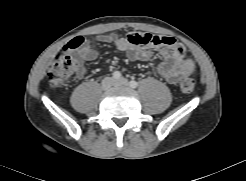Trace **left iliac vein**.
<instances>
[{
	"instance_id": "left-iliac-vein-1",
	"label": "left iliac vein",
	"mask_w": 246,
	"mask_h": 181,
	"mask_svg": "<svg viewBox=\"0 0 246 181\" xmlns=\"http://www.w3.org/2000/svg\"><path fill=\"white\" fill-rule=\"evenodd\" d=\"M129 85L127 79L121 78L117 81H115V86L116 87H127Z\"/></svg>"
}]
</instances>
